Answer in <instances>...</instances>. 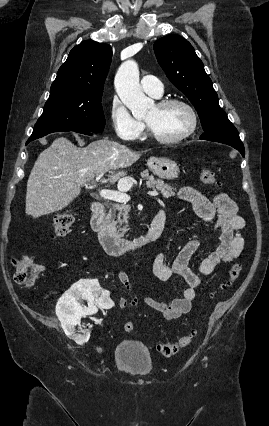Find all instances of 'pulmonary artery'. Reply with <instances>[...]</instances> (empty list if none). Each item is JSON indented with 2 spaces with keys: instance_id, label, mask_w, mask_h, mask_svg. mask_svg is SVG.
I'll return each instance as SVG.
<instances>
[{
  "instance_id": "e3ab8cb5",
  "label": "pulmonary artery",
  "mask_w": 269,
  "mask_h": 426,
  "mask_svg": "<svg viewBox=\"0 0 269 426\" xmlns=\"http://www.w3.org/2000/svg\"><path fill=\"white\" fill-rule=\"evenodd\" d=\"M142 89L155 98H160L163 95V84L155 76L145 75L140 81Z\"/></svg>"
}]
</instances>
